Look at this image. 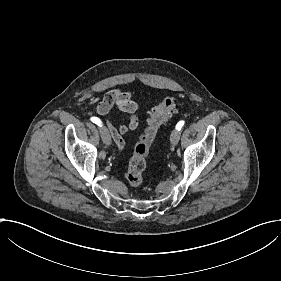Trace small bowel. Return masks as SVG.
<instances>
[{
	"label": "small bowel",
	"instance_id": "c3829d8e",
	"mask_svg": "<svg viewBox=\"0 0 281 281\" xmlns=\"http://www.w3.org/2000/svg\"><path fill=\"white\" fill-rule=\"evenodd\" d=\"M113 107H118L129 116L128 124H121L117 128L108 124L112 139L119 143V148H124L122 135L135 130L139 126V119L136 116L138 105L128 91L122 88H113L106 93L104 99L98 104L96 111L100 116H107Z\"/></svg>",
	"mask_w": 281,
	"mask_h": 281
}]
</instances>
